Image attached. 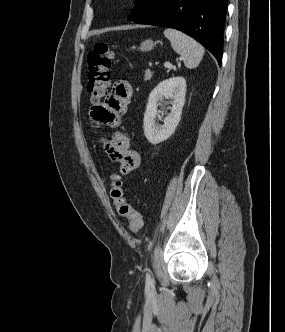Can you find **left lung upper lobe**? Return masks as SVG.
I'll return each mask as SVG.
<instances>
[{
    "label": "left lung upper lobe",
    "instance_id": "left-lung-upper-lobe-1",
    "mask_svg": "<svg viewBox=\"0 0 285 332\" xmlns=\"http://www.w3.org/2000/svg\"><path fill=\"white\" fill-rule=\"evenodd\" d=\"M159 0H137V6L130 14L129 18L132 21H135L148 13L157 3Z\"/></svg>",
    "mask_w": 285,
    "mask_h": 332
}]
</instances>
